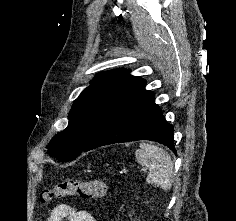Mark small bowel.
<instances>
[{
    "mask_svg": "<svg viewBox=\"0 0 236 221\" xmlns=\"http://www.w3.org/2000/svg\"><path fill=\"white\" fill-rule=\"evenodd\" d=\"M45 221H96L86 210H81L67 203L55 205Z\"/></svg>",
    "mask_w": 236,
    "mask_h": 221,
    "instance_id": "obj_1",
    "label": "small bowel"
}]
</instances>
